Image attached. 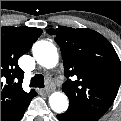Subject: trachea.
Here are the masks:
<instances>
[{"instance_id": "obj_1", "label": "trachea", "mask_w": 121, "mask_h": 121, "mask_svg": "<svg viewBox=\"0 0 121 121\" xmlns=\"http://www.w3.org/2000/svg\"><path fill=\"white\" fill-rule=\"evenodd\" d=\"M44 78L41 74H36L30 82L31 87H38V88H44Z\"/></svg>"}]
</instances>
